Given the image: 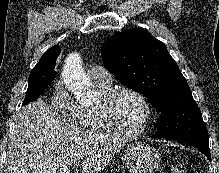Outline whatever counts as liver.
I'll list each match as a JSON object with an SVG mask.
<instances>
[{
  "label": "liver",
  "instance_id": "liver-1",
  "mask_svg": "<svg viewBox=\"0 0 219 173\" xmlns=\"http://www.w3.org/2000/svg\"><path fill=\"white\" fill-rule=\"evenodd\" d=\"M123 143L118 136L69 124L39 99L16 115L7 173H69V167L81 161V173H100Z\"/></svg>",
  "mask_w": 219,
  "mask_h": 173
}]
</instances>
